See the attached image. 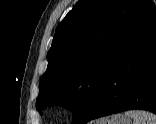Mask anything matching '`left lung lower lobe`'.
<instances>
[{
    "instance_id": "1",
    "label": "left lung lower lobe",
    "mask_w": 156,
    "mask_h": 124,
    "mask_svg": "<svg viewBox=\"0 0 156 124\" xmlns=\"http://www.w3.org/2000/svg\"><path fill=\"white\" fill-rule=\"evenodd\" d=\"M131 109L156 114V15L116 61L79 124Z\"/></svg>"
}]
</instances>
